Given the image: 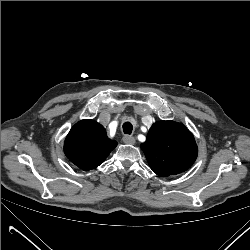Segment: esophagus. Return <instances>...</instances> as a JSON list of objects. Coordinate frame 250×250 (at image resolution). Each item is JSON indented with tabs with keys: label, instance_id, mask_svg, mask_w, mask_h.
Here are the masks:
<instances>
[{
	"label": "esophagus",
	"instance_id": "1",
	"mask_svg": "<svg viewBox=\"0 0 250 250\" xmlns=\"http://www.w3.org/2000/svg\"><path fill=\"white\" fill-rule=\"evenodd\" d=\"M122 140L126 144H134L135 143V138L133 136H129V135L123 136Z\"/></svg>",
	"mask_w": 250,
	"mask_h": 250
}]
</instances>
